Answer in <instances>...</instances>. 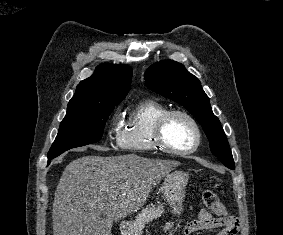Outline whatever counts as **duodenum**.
Wrapping results in <instances>:
<instances>
[{
	"label": "duodenum",
	"mask_w": 283,
	"mask_h": 235,
	"mask_svg": "<svg viewBox=\"0 0 283 235\" xmlns=\"http://www.w3.org/2000/svg\"><path fill=\"white\" fill-rule=\"evenodd\" d=\"M127 223L126 222H122L121 224H120V227L122 228V229H126L127 228Z\"/></svg>",
	"instance_id": "410a0bca"
}]
</instances>
